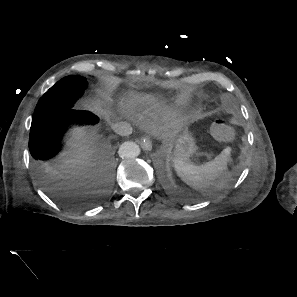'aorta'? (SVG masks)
<instances>
[{
    "mask_svg": "<svg viewBox=\"0 0 297 297\" xmlns=\"http://www.w3.org/2000/svg\"><path fill=\"white\" fill-rule=\"evenodd\" d=\"M118 153L121 158H135L140 154V147L135 142H124L120 146Z\"/></svg>",
    "mask_w": 297,
    "mask_h": 297,
    "instance_id": "762f6f07",
    "label": "aorta"
}]
</instances>
